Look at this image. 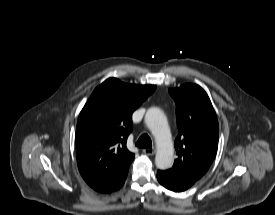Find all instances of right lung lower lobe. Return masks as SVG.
Segmentation results:
<instances>
[{
  "label": "right lung lower lobe",
  "instance_id": "98d812e1",
  "mask_svg": "<svg viewBox=\"0 0 275 215\" xmlns=\"http://www.w3.org/2000/svg\"><path fill=\"white\" fill-rule=\"evenodd\" d=\"M126 177H127V174L114 182L106 183V184L92 187V188L98 192H101V193H109V192L120 189L122 187V185L124 184Z\"/></svg>",
  "mask_w": 275,
  "mask_h": 215
}]
</instances>
